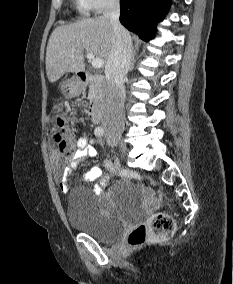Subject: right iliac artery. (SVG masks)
I'll use <instances>...</instances> for the list:
<instances>
[{
    "label": "right iliac artery",
    "mask_w": 233,
    "mask_h": 284,
    "mask_svg": "<svg viewBox=\"0 0 233 284\" xmlns=\"http://www.w3.org/2000/svg\"><path fill=\"white\" fill-rule=\"evenodd\" d=\"M94 133H95L96 136L101 137V136H103L104 129L102 127H97L95 129Z\"/></svg>",
    "instance_id": "1"
}]
</instances>
